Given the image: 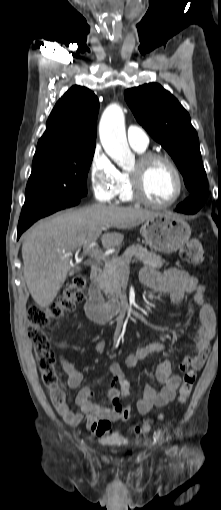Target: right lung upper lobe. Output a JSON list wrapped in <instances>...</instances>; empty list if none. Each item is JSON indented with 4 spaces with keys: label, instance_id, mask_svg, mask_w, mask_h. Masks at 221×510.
Masks as SVG:
<instances>
[{
    "label": "right lung upper lobe",
    "instance_id": "obj_1",
    "mask_svg": "<svg viewBox=\"0 0 221 510\" xmlns=\"http://www.w3.org/2000/svg\"><path fill=\"white\" fill-rule=\"evenodd\" d=\"M99 101L86 87L72 86L56 103L34 158L95 147Z\"/></svg>",
    "mask_w": 221,
    "mask_h": 510
}]
</instances>
